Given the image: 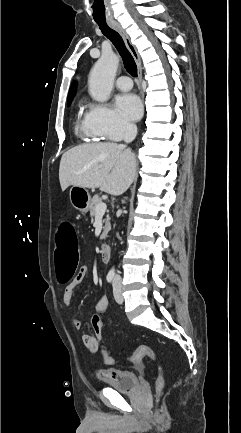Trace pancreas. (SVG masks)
<instances>
[{"mask_svg":"<svg viewBox=\"0 0 241 433\" xmlns=\"http://www.w3.org/2000/svg\"><path fill=\"white\" fill-rule=\"evenodd\" d=\"M102 203V199L99 198L98 195H95L90 202V207H89V211H90V215L95 217L96 216V206L98 204ZM111 229V224H110V217L109 214L106 215V218L104 219V226H103V232L100 236V239L103 240L106 238L107 233L110 231Z\"/></svg>","mask_w":241,"mask_h":433,"instance_id":"obj_1","label":"pancreas"}]
</instances>
